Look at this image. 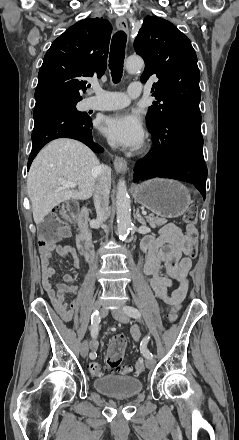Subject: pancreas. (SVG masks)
Returning a JSON list of instances; mask_svg holds the SVG:
<instances>
[{
  "instance_id": "obj_1",
  "label": "pancreas",
  "mask_w": 239,
  "mask_h": 440,
  "mask_svg": "<svg viewBox=\"0 0 239 440\" xmlns=\"http://www.w3.org/2000/svg\"><path fill=\"white\" fill-rule=\"evenodd\" d=\"M149 226L151 228H158V226H164L167 224L168 220L166 218H158V216H153V214H149V216H145Z\"/></svg>"
}]
</instances>
